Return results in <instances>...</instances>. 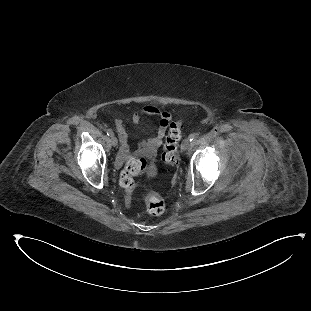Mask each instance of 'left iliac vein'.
I'll return each mask as SVG.
<instances>
[{"mask_svg":"<svg viewBox=\"0 0 311 311\" xmlns=\"http://www.w3.org/2000/svg\"><path fill=\"white\" fill-rule=\"evenodd\" d=\"M189 146H190V140L184 139L181 144V149L185 151L189 148Z\"/></svg>","mask_w":311,"mask_h":311,"instance_id":"4c4485c4","label":"left iliac vein"}]
</instances>
